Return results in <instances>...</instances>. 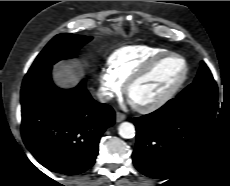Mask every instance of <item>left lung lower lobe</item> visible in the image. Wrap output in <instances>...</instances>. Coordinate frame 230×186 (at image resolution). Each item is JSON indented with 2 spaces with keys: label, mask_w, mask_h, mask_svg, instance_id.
<instances>
[{
  "label": "left lung lower lobe",
  "mask_w": 230,
  "mask_h": 186,
  "mask_svg": "<svg viewBox=\"0 0 230 186\" xmlns=\"http://www.w3.org/2000/svg\"><path fill=\"white\" fill-rule=\"evenodd\" d=\"M217 99V92L176 97L155 112L135 118L136 168L153 178H170L181 170L210 134Z\"/></svg>",
  "instance_id": "0a47b994"
}]
</instances>
